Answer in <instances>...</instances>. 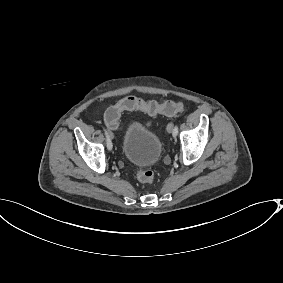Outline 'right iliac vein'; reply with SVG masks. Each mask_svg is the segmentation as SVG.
Returning a JSON list of instances; mask_svg holds the SVG:
<instances>
[{"instance_id": "1", "label": "right iliac vein", "mask_w": 283, "mask_h": 283, "mask_svg": "<svg viewBox=\"0 0 283 283\" xmlns=\"http://www.w3.org/2000/svg\"><path fill=\"white\" fill-rule=\"evenodd\" d=\"M110 136L113 138V134L112 133H110Z\"/></svg>"}]
</instances>
